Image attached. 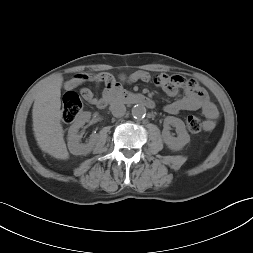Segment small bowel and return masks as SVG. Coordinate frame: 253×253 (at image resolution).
Instances as JSON below:
<instances>
[{
  "instance_id": "c3829d8e",
  "label": "small bowel",
  "mask_w": 253,
  "mask_h": 253,
  "mask_svg": "<svg viewBox=\"0 0 253 253\" xmlns=\"http://www.w3.org/2000/svg\"><path fill=\"white\" fill-rule=\"evenodd\" d=\"M152 76L145 71H137L127 78L129 81L141 80L150 81ZM154 82L170 97L176 96L180 90L184 92L183 97L174 100L164 106V110L169 114H179L182 111L200 110L206 117L205 130L210 131L215 127L218 118V110L210 100L207 92L194 80L185 79L180 75H167L165 73L156 74ZM115 82L114 77L108 73L97 74H77L65 83V89L71 90L84 85L93 83L96 88L101 84L106 87ZM82 97L92 105L100 107L102 97H99L91 89L83 87L80 90Z\"/></svg>"
}]
</instances>
